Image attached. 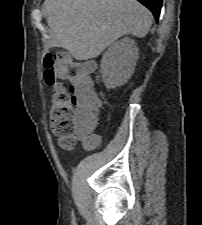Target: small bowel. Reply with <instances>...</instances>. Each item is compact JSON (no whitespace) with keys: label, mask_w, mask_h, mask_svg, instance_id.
Listing matches in <instances>:
<instances>
[{"label":"small bowel","mask_w":202,"mask_h":225,"mask_svg":"<svg viewBox=\"0 0 202 225\" xmlns=\"http://www.w3.org/2000/svg\"><path fill=\"white\" fill-rule=\"evenodd\" d=\"M83 65L86 70H90L95 66V63L92 61H84ZM77 104H78L79 111L81 113H86V112H89L92 110V108L89 105V101L86 98H79L77 100ZM84 124L86 126H89L91 129H94V124L92 121L85 119ZM103 142H104V138L101 140V143H103Z\"/></svg>","instance_id":"obj_1"}]
</instances>
